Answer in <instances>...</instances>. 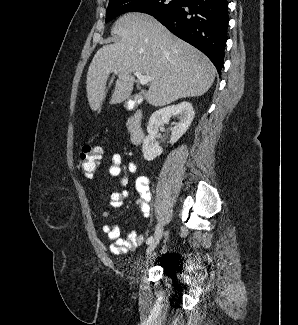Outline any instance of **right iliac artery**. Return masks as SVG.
<instances>
[{
    "label": "right iliac artery",
    "mask_w": 298,
    "mask_h": 325,
    "mask_svg": "<svg viewBox=\"0 0 298 325\" xmlns=\"http://www.w3.org/2000/svg\"><path fill=\"white\" fill-rule=\"evenodd\" d=\"M152 240H153V237L151 236V237H149V238L147 239L146 243H147V244H150V243L152 242Z\"/></svg>",
    "instance_id": "82829eb1"
}]
</instances>
